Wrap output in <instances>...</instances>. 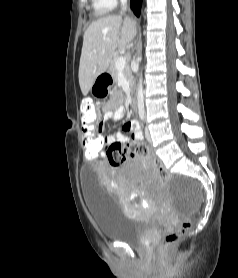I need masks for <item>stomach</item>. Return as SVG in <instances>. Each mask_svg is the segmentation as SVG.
<instances>
[{
  "mask_svg": "<svg viewBox=\"0 0 238 278\" xmlns=\"http://www.w3.org/2000/svg\"><path fill=\"white\" fill-rule=\"evenodd\" d=\"M108 86H113V77L104 69L102 74H97L94 84H91V95L94 99H108Z\"/></svg>",
  "mask_w": 238,
  "mask_h": 278,
  "instance_id": "0dacf381",
  "label": "stomach"
}]
</instances>
